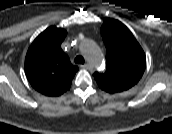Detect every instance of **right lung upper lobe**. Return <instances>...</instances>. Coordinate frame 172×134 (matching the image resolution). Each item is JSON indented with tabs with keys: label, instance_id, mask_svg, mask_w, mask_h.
I'll return each mask as SVG.
<instances>
[{
	"label": "right lung upper lobe",
	"instance_id": "cb5924a9",
	"mask_svg": "<svg viewBox=\"0 0 172 134\" xmlns=\"http://www.w3.org/2000/svg\"><path fill=\"white\" fill-rule=\"evenodd\" d=\"M67 32L49 27L40 33L29 47L25 58V73L32 87L46 96H59L70 89L79 70L62 51Z\"/></svg>",
	"mask_w": 172,
	"mask_h": 134
}]
</instances>
